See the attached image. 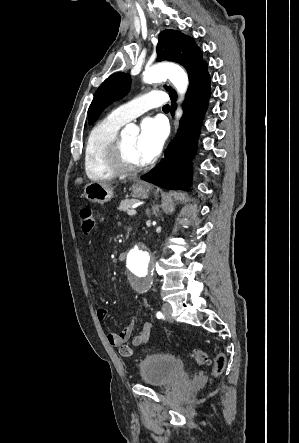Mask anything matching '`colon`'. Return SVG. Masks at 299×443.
Instances as JSON below:
<instances>
[{
	"label": "colon",
	"mask_w": 299,
	"mask_h": 443,
	"mask_svg": "<svg viewBox=\"0 0 299 443\" xmlns=\"http://www.w3.org/2000/svg\"><path fill=\"white\" fill-rule=\"evenodd\" d=\"M79 222L81 226V230L83 234L89 235L94 231L95 228V219L90 208H82L79 211ZM192 358L199 364L204 365L209 363V359L205 353L200 350H193L191 354ZM226 365V358L223 353H218L214 359V367H213V375L215 377L220 376Z\"/></svg>",
	"instance_id": "5ec220e1"
}]
</instances>
